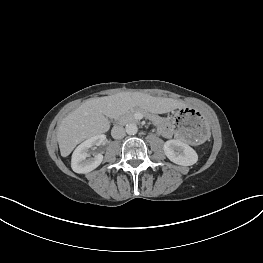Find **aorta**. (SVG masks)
Listing matches in <instances>:
<instances>
[{
  "label": "aorta",
  "instance_id": "762f6f07",
  "mask_svg": "<svg viewBox=\"0 0 263 263\" xmlns=\"http://www.w3.org/2000/svg\"><path fill=\"white\" fill-rule=\"evenodd\" d=\"M125 131L128 135H135L138 132L137 125L135 123H129L125 127Z\"/></svg>",
  "mask_w": 263,
  "mask_h": 263
}]
</instances>
